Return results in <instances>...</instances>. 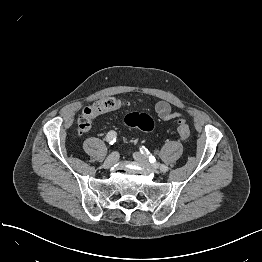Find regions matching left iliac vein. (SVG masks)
Masks as SVG:
<instances>
[{
	"mask_svg": "<svg viewBox=\"0 0 262 262\" xmlns=\"http://www.w3.org/2000/svg\"><path fill=\"white\" fill-rule=\"evenodd\" d=\"M133 158H134L137 162H139V163H141L142 165H144L146 168L154 171L155 173H158V166H157V165H156V166H155V165H152V164L150 163V161L148 160V158H147L146 156L142 155L140 152H135V153L133 154Z\"/></svg>",
	"mask_w": 262,
	"mask_h": 262,
	"instance_id": "obj_1",
	"label": "left iliac vein"
}]
</instances>
